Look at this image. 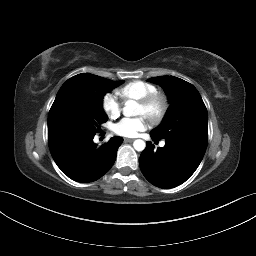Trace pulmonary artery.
<instances>
[{"instance_id": "obj_1", "label": "pulmonary artery", "mask_w": 256, "mask_h": 256, "mask_svg": "<svg viewBox=\"0 0 256 256\" xmlns=\"http://www.w3.org/2000/svg\"><path fill=\"white\" fill-rule=\"evenodd\" d=\"M164 145H165V143H164V142H162V143H161V146H164Z\"/></svg>"}]
</instances>
